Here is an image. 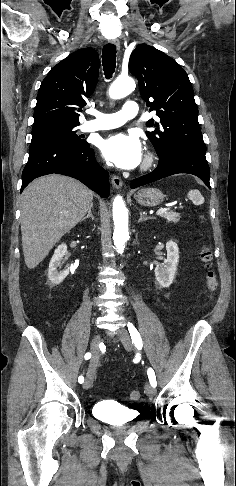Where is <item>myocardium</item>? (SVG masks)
<instances>
[{"instance_id": "myocardium-1", "label": "myocardium", "mask_w": 236, "mask_h": 486, "mask_svg": "<svg viewBox=\"0 0 236 486\" xmlns=\"http://www.w3.org/2000/svg\"><path fill=\"white\" fill-rule=\"evenodd\" d=\"M155 162V156L154 154L152 153H148L144 159V162L142 164V167H141V170L142 171H147L149 169H151V167L153 166Z\"/></svg>"}]
</instances>
